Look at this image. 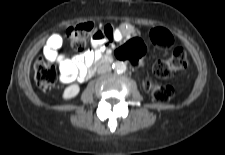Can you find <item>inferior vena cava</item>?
Wrapping results in <instances>:
<instances>
[{
    "instance_id": "602c4592",
    "label": "inferior vena cava",
    "mask_w": 225,
    "mask_h": 155,
    "mask_svg": "<svg viewBox=\"0 0 225 155\" xmlns=\"http://www.w3.org/2000/svg\"><path fill=\"white\" fill-rule=\"evenodd\" d=\"M111 70V67L107 64H103L98 68V73H105Z\"/></svg>"
}]
</instances>
